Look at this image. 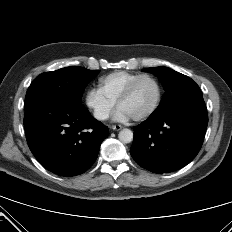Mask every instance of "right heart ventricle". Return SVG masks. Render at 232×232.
Here are the masks:
<instances>
[{"label":"right heart ventricle","instance_id":"obj_1","mask_svg":"<svg viewBox=\"0 0 232 232\" xmlns=\"http://www.w3.org/2000/svg\"><path fill=\"white\" fill-rule=\"evenodd\" d=\"M139 75L141 74L126 71L110 73L99 79L98 89L109 101L115 104L129 84Z\"/></svg>","mask_w":232,"mask_h":232}]
</instances>
